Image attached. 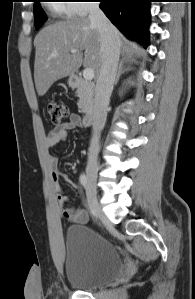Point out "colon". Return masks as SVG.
I'll return each mask as SVG.
<instances>
[{
    "label": "colon",
    "instance_id": "obj_1",
    "mask_svg": "<svg viewBox=\"0 0 195 299\" xmlns=\"http://www.w3.org/2000/svg\"><path fill=\"white\" fill-rule=\"evenodd\" d=\"M47 112L53 124L61 123L69 114L68 105L64 102L49 101L47 103Z\"/></svg>",
    "mask_w": 195,
    "mask_h": 299
}]
</instances>
